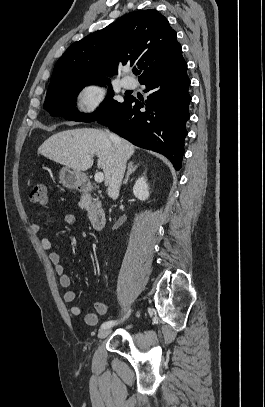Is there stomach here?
<instances>
[{"instance_id": "obj_1", "label": "stomach", "mask_w": 265, "mask_h": 407, "mask_svg": "<svg viewBox=\"0 0 265 407\" xmlns=\"http://www.w3.org/2000/svg\"><path fill=\"white\" fill-rule=\"evenodd\" d=\"M59 179L66 188L76 189L84 183L86 176L80 171L63 167L59 172Z\"/></svg>"}]
</instances>
